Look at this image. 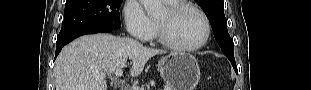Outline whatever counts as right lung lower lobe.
I'll list each match as a JSON object with an SVG mask.
<instances>
[{"label": "right lung lower lobe", "instance_id": "98d812e1", "mask_svg": "<svg viewBox=\"0 0 311 90\" xmlns=\"http://www.w3.org/2000/svg\"><path fill=\"white\" fill-rule=\"evenodd\" d=\"M112 30L114 29H86V30H82L74 34H71L68 37H65L63 39L57 40L55 58L57 57V55L59 54V52L61 51L64 45L68 44L70 41H72L73 39L79 36L86 35V34H95V33H108V32H111Z\"/></svg>", "mask_w": 311, "mask_h": 90}]
</instances>
